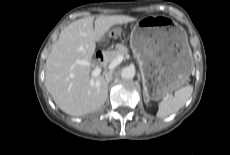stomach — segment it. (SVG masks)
Instances as JSON below:
<instances>
[{
	"instance_id": "0dacf381",
	"label": "stomach",
	"mask_w": 230,
	"mask_h": 155,
	"mask_svg": "<svg viewBox=\"0 0 230 155\" xmlns=\"http://www.w3.org/2000/svg\"><path fill=\"white\" fill-rule=\"evenodd\" d=\"M130 47L139 64L146 100L164 99L187 83L192 51L185 31L171 18L139 19L131 31Z\"/></svg>"
}]
</instances>
